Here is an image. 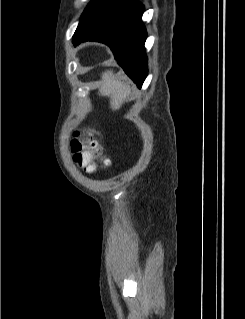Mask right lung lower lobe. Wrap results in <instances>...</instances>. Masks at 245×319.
Here are the masks:
<instances>
[{"label": "right lung lower lobe", "instance_id": "98d812e1", "mask_svg": "<svg viewBox=\"0 0 245 319\" xmlns=\"http://www.w3.org/2000/svg\"><path fill=\"white\" fill-rule=\"evenodd\" d=\"M144 7L130 1L95 25L76 31L73 42L98 41L108 45L118 64L141 87L147 77V57L144 43L147 37L141 17Z\"/></svg>", "mask_w": 245, "mask_h": 319}]
</instances>
